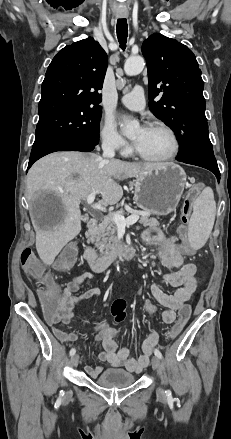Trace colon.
<instances>
[{
    "instance_id": "5ec220e1",
    "label": "colon",
    "mask_w": 231,
    "mask_h": 439,
    "mask_svg": "<svg viewBox=\"0 0 231 439\" xmlns=\"http://www.w3.org/2000/svg\"><path fill=\"white\" fill-rule=\"evenodd\" d=\"M192 211V199L187 198L181 209V233L183 236L186 235L185 226L188 223L190 214ZM78 246L79 243L76 240L71 241L59 254L56 268L60 271H65L73 267L78 258ZM33 248L30 245L25 246L24 251L21 255V262L23 268L27 273H29L34 278L40 280L43 285V290L38 291L39 305L44 309L43 318L45 320H54L56 318L55 310L59 306L61 300V289L54 282L50 275H43V269L40 264L39 259L32 252ZM185 257L187 259H195L197 257V252L190 248L185 252ZM190 305L187 303L181 304L177 308V322L169 331V338H174L181 331L185 323L191 319L193 314ZM111 313L116 321H122L126 315V303L123 300H116L111 306Z\"/></svg>"
}]
</instances>
